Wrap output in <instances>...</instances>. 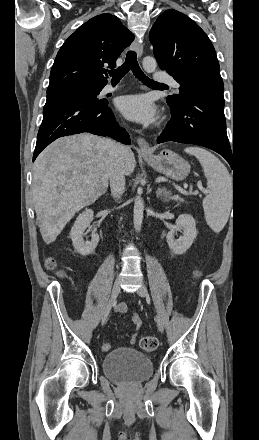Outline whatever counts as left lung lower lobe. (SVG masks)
I'll list each match as a JSON object with an SVG mask.
<instances>
[{
    "label": "left lung lower lobe",
    "mask_w": 259,
    "mask_h": 440,
    "mask_svg": "<svg viewBox=\"0 0 259 440\" xmlns=\"http://www.w3.org/2000/svg\"><path fill=\"white\" fill-rule=\"evenodd\" d=\"M168 105L172 118L157 143L174 141L204 146L222 155L232 166L223 92L198 88L183 96L181 106Z\"/></svg>",
    "instance_id": "left-lung-lower-lobe-1"
}]
</instances>
